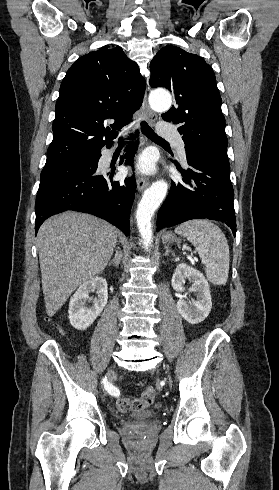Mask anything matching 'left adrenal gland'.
Here are the masks:
<instances>
[{"instance_id":"a2214340","label":"left adrenal gland","mask_w":279,"mask_h":490,"mask_svg":"<svg viewBox=\"0 0 279 490\" xmlns=\"http://www.w3.org/2000/svg\"><path fill=\"white\" fill-rule=\"evenodd\" d=\"M164 248H166V252H165V254H163V256H169V254H172V256H175V252H171V250H169L168 246H164Z\"/></svg>"}]
</instances>
